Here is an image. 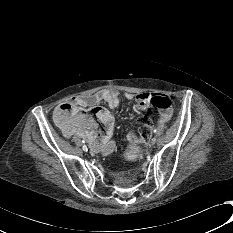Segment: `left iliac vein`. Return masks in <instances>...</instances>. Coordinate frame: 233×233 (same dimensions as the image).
<instances>
[{"label": "left iliac vein", "mask_w": 233, "mask_h": 233, "mask_svg": "<svg viewBox=\"0 0 233 233\" xmlns=\"http://www.w3.org/2000/svg\"><path fill=\"white\" fill-rule=\"evenodd\" d=\"M156 141H157L156 137L152 138V140L150 141V145H154Z\"/></svg>", "instance_id": "1"}]
</instances>
